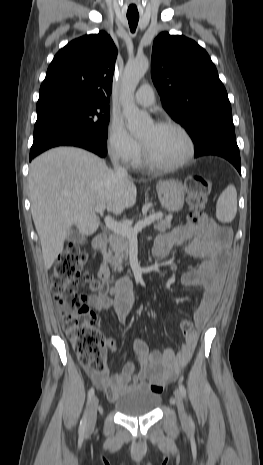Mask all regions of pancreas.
Masks as SVG:
<instances>
[{"label":"pancreas","instance_id":"1","mask_svg":"<svg viewBox=\"0 0 263 465\" xmlns=\"http://www.w3.org/2000/svg\"><path fill=\"white\" fill-rule=\"evenodd\" d=\"M171 217L159 218L154 224V228L161 232L170 229ZM129 238L118 233H112L109 237L108 251H103L105 262L110 263L114 271L121 272L123 270V262L127 260L129 254Z\"/></svg>","mask_w":263,"mask_h":465}]
</instances>
